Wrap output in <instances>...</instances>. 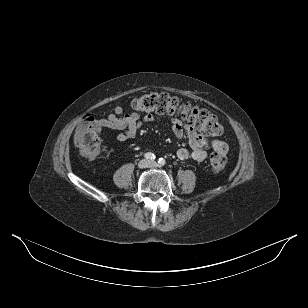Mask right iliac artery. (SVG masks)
Listing matches in <instances>:
<instances>
[{
  "mask_svg": "<svg viewBox=\"0 0 308 308\" xmlns=\"http://www.w3.org/2000/svg\"><path fill=\"white\" fill-rule=\"evenodd\" d=\"M144 157H145L146 159H149V160H154V159L156 158L155 155H154L153 153H151V152L145 153V154H144Z\"/></svg>",
  "mask_w": 308,
  "mask_h": 308,
  "instance_id": "obj_1",
  "label": "right iliac artery"
}]
</instances>
